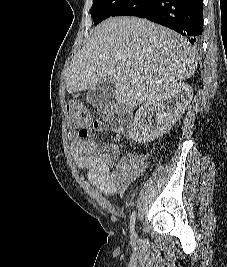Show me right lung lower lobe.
<instances>
[{"instance_id":"obj_1","label":"right lung lower lobe","mask_w":227,"mask_h":267,"mask_svg":"<svg viewBox=\"0 0 227 267\" xmlns=\"http://www.w3.org/2000/svg\"><path fill=\"white\" fill-rule=\"evenodd\" d=\"M113 16L148 19L197 44L203 30V0H130Z\"/></svg>"}]
</instances>
